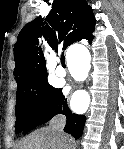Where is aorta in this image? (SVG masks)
<instances>
[{"label": "aorta", "mask_w": 124, "mask_h": 149, "mask_svg": "<svg viewBox=\"0 0 124 149\" xmlns=\"http://www.w3.org/2000/svg\"><path fill=\"white\" fill-rule=\"evenodd\" d=\"M75 58L82 61L84 71L87 72L90 67V54L88 50L85 48H80Z\"/></svg>", "instance_id": "762f6f07"}]
</instances>
